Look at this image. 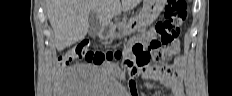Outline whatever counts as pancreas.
Instances as JSON below:
<instances>
[{
    "label": "pancreas",
    "mask_w": 232,
    "mask_h": 96,
    "mask_svg": "<svg viewBox=\"0 0 232 96\" xmlns=\"http://www.w3.org/2000/svg\"><path fill=\"white\" fill-rule=\"evenodd\" d=\"M125 23L118 24V28L120 29Z\"/></svg>",
    "instance_id": "cf45deb5"
}]
</instances>
